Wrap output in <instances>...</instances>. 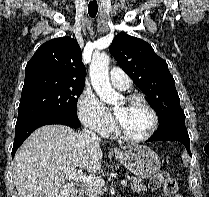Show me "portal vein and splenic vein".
I'll return each mask as SVG.
<instances>
[{"label":"portal vein and splenic vein","mask_w":209,"mask_h":197,"mask_svg":"<svg viewBox=\"0 0 209 197\" xmlns=\"http://www.w3.org/2000/svg\"><path fill=\"white\" fill-rule=\"evenodd\" d=\"M63 172L66 174L67 178L72 179L74 181H80L88 185H97V186H103L105 184V181L102 178L84 175L74 168L63 170ZM121 184L123 186H126L127 181L123 180Z\"/></svg>","instance_id":"1"}]
</instances>
